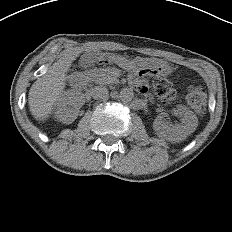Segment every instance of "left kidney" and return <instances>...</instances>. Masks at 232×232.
<instances>
[{
  "label": "left kidney",
  "instance_id": "left-kidney-1",
  "mask_svg": "<svg viewBox=\"0 0 232 232\" xmlns=\"http://www.w3.org/2000/svg\"><path fill=\"white\" fill-rule=\"evenodd\" d=\"M176 111L182 116L181 123L171 125L164 118L165 115H158L153 122V129L158 136L167 140H182L195 131L198 119L193 111L183 105H177Z\"/></svg>",
  "mask_w": 232,
  "mask_h": 232
}]
</instances>
